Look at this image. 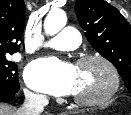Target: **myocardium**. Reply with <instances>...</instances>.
<instances>
[{"instance_id":"myocardium-1","label":"myocardium","mask_w":131,"mask_h":115,"mask_svg":"<svg viewBox=\"0 0 131 115\" xmlns=\"http://www.w3.org/2000/svg\"><path fill=\"white\" fill-rule=\"evenodd\" d=\"M92 61L100 62L108 69L111 75V85L105 93L94 98H82V97L73 96L72 98L73 101L81 106H87V107L100 106L106 103L107 101H109L118 92L120 88V75H119L118 69L105 56L100 55V54H88V55L80 57L77 60L76 65L80 66L82 64L92 62Z\"/></svg>"}]
</instances>
